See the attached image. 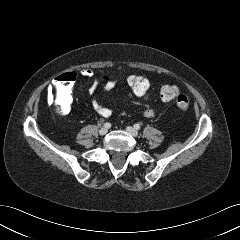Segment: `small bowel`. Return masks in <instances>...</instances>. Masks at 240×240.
Here are the masks:
<instances>
[{"instance_id": "obj_1", "label": "small bowel", "mask_w": 240, "mask_h": 240, "mask_svg": "<svg viewBox=\"0 0 240 240\" xmlns=\"http://www.w3.org/2000/svg\"><path fill=\"white\" fill-rule=\"evenodd\" d=\"M80 74L84 77L92 78V83L88 88V94L90 96H94L99 89V86L101 83V78L98 77L91 69H87V68L82 69L80 71ZM117 86H121V87L125 88L127 96L133 103L144 106V108H145L143 111L144 117L152 118L155 116L156 110L148 103V101L139 99V98L135 97L131 92H129V90L126 87L125 81H119L117 78L106 77L105 83L102 87V90L104 92H109ZM91 104H92V108L94 109V111L102 117H105V118L110 117L113 113L112 107L102 105L96 98L92 99Z\"/></svg>"}]
</instances>
